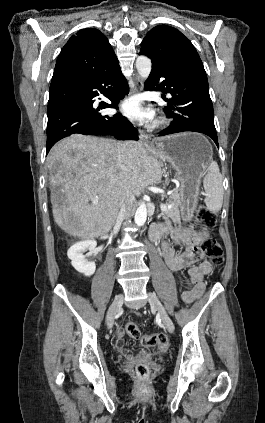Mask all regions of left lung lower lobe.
<instances>
[{"mask_svg":"<svg viewBox=\"0 0 265 423\" xmlns=\"http://www.w3.org/2000/svg\"><path fill=\"white\" fill-rule=\"evenodd\" d=\"M164 77L161 84L155 85ZM165 89L171 99L164 113L173 118L172 124L159 136L193 131L208 135L218 146L214 125L213 105L203 63L192 45H184L165 61L152 66L146 90Z\"/></svg>","mask_w":265,"mask_h":423,"instance_id":"left-lung-lower-lobe-1","label":"left lung lower lobe"}]
</instances>
